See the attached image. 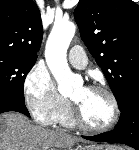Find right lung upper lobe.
<instances>
[{
    "mask_svg": "<svg viewBox=\"0 0 139 150\" xmlns=\"http://www.w3.org/2000/svg\"><path fill=\"white\" fill-rule=\"evenodd\" d=\"M42 35L40 11L33 0H0V52L37 59Z\"/></svg>",
    "mask_w": 139,
    "mask_h": 150,
    "instance_id": "obj_1",
    "label": "right lung upper lobe"
}]
</instances>
